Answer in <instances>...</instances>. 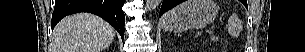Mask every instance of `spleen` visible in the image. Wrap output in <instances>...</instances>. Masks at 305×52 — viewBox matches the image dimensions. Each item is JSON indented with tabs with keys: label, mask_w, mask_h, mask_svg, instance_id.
Masks as SVG:
<instances>
[{
	"label": "spleen",
	"mask_w": 305,
	"mask_h": 52,
	"mask_svg": "<svg viewBox=\"0 0 305 52\" xmlns=\"http://www.w3.org/2000/svg\"><path fill=\"white\" fill-rule=\"evenodd\" d=\"M228 23H229V27H228L229 33H231L232 35L237 37L240 32V24H239L237 18L233 15L230 16Z\"/></svg>",
	"instance_id": "spleen-1"
}]
</instances>
